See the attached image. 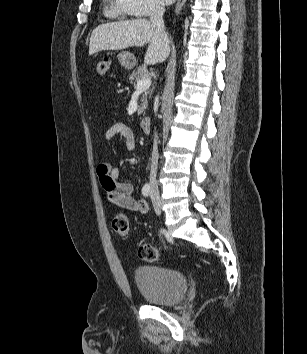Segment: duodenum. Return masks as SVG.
I'll use <instances>...</instances> for the list:
<instances>
[{
  "label": "duodenum",
  "instance_id": "duodenum-1",
  "mask_svg": "<svg viewBox=\"0 0 307 354\" xmlns=\"http://www.w3.org/2000/svg\"><path fill=\"white\" fill-rule=\"evenodd\" d=\"M140 126L141 129L145 132V133H150L151 132V127H152V120L150 117H143L140 121Z\"/></svg>",
  "mask_w": 307,
  "mask_h": 354
}]
</instances>
